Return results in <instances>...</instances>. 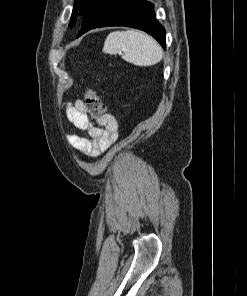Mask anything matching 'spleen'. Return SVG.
Masks as SVG:
<instances>
[{
    "label": "spleen",
    "mask_w": 247,
    "mask_h": 296,
    "mask_svg": "<svg viewBox=\"0 0 247 296\" xmlns=\"http://www.w3.org/2000/svg\"><path fill=\"white\" fill-rule=\"evenodd\" d=\"M103 52L121 54L122 58L137 66H151L160 62L163 52L149 35L136 30L111 32L104 43Z\"/></svg>",
    "instance_id": "spleen-1"
}]
</instances>
